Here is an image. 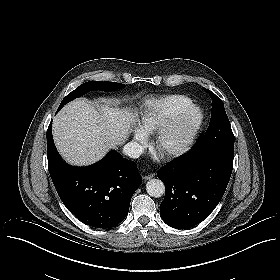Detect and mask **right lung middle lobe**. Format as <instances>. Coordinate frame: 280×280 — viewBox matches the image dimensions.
Listing matches in <instances>:
<instances>
[{
    "instance_id": "obj_1",
    "label": "right lung middle lobe",
    "mask_w": 280,
    "mask_h": 280,
    "mask_svg": "<svg viewBox=\"0 0 280 280\" xmlns=\"http://www.w3.org/2000/svg\"><path fill=\"white\" fill-rule=\"evenodd\" d=\"M124 86H125L124 84L117 83V82H99V81L86 82V83L80 85L78 88H76L71 93H69L61 102L58 110H60L69 101H71L77 97H80L89 91H92V90L114 91L117 89H121Z\"/></svg>"
}]
</instances>
